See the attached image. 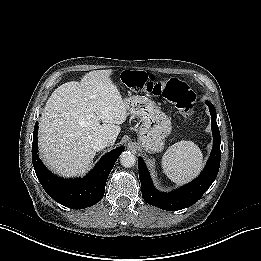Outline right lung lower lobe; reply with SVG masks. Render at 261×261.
<instances>
[{
  "label": "right lung lower lobe",
  "mask_w": 261,
  "mask_h": 261,
  "mask_svg": "<svg viewBox=\"0 0 261 261\" xmlns=\"http://www.w3.org/2000/svg\"><path fill=\"white\" fill-rule=\"evenodd\" d=\"M38 124H35L32 144V161L36 175L46 193L55 201L71 209H83L99 202L104 195L107 178L124 147L104 155L84 178L62 179L53 175L42 164L37 146Z\"/></svg>",
  "instance_id": "1"
}]
</instances>
